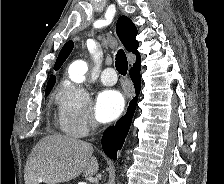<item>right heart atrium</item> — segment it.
Returning a JSON list of instances; mask_svg holds the SVG:
<instances>
[{
  "mask_svg": "<svg viewBox=\"0 0 224 184\" xmlns=\"http://www.w3.org/2000/svg\"><path fill=\"white\" fill-rule=\"evenodd\" d=\"M57 121L60 129L73 137H84L97 123L88 92L81 86L67 83L57 98Z\"/></svg>",
  "mask_w": 224,
  "mask_h": 184,
  "instance_id": "obj_1",
  "label": "right heart atrium"
}]
</instances>
